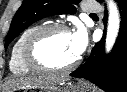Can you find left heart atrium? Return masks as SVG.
Masks as SVG:
<instances>
[{
    "mask_svg": "<svg viewBox=\"0 0 127 92\" xmlns=\"http://www.w3.org/2000/svg\"><path fill=\"white\" fill-rule=\"evenodd\" d=\"M71 35L75 53L77 56H80L85 51L87 46L86 31L82 27H79Z\"/></svg>",
    "mask_w": 127,
    "mask_h": 92,
    "instance_id": "39dd6f15",
    "label": "left heart atrium"
}]
</instances>
